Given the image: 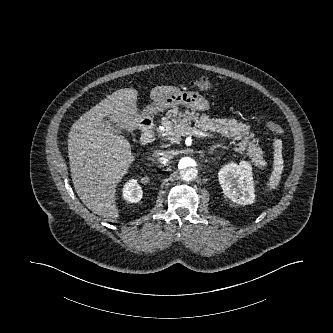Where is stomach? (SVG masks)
Here are the masks:
<instances>
[{
	"mask_svg": "<svg viewBox=\"0 0 333 333\" xmlns=\"http://www.w3.org/2000/svg\"><path fill=\"white\" fill-rule=\"evenodd\" d=\"M178 105H183L187 108L198 111H205L209 108V102L198 92L176 91L164 96L156 102H153L149 107H147L145 113L153 116L154 114L164 112L165 110L174 108Z\"/></svg>",
	"mask_w": 333,
	"mask_h": 333,
	"instance_id": "0dacf381",
	"label": "stomach"
}]
</instances>
